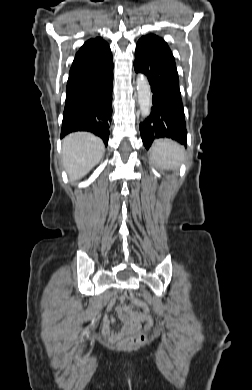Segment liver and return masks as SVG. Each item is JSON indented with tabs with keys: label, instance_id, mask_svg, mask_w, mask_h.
I'll list each match as a JSON object with an SVG mask.
<instances>
[{
	"label": "liver",
	"instance_id": "1",
	"mask_svg": "<svg viewBox=\"0 0 252 390\" xmlns=\"http://www.w3.org/2000/svg\"><path fill=\"white\" fill-rule=\"evenodd\" d=\"M105 152L102 140L88 132H77L63 139L62 162L71 180L84 177Z\"/></svg>",
	"mask_w": 252,
	"mask_h": 390
}]
</instances>
